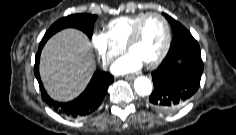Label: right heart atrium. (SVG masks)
<instances>
[{
	"label": "right heart atrium",
	"instance_id": "d8ad5b80",
	"mask_svg": "<svg viewBox=\"0 0 236 135\" xmlns=\"http://www.w3.org/2000/svg\"><path fill=\"white\" fill-rule=\"evenodd\" d=\"M91 44L103 66H107L122 52V48L112 43L104 33H93L91 36Z\"/></svg>",
	"mask_w": 236,
	"mask_h": 135
}]
</instances>
